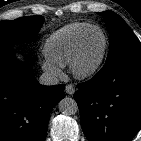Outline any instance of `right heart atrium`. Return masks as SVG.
<instances>
[{
	"label": "right heart atrium",
	"instance_id": "obj_1",
	"mask_svg": "<svg viewBox=\"0 0 141 141\" xmlns=\"http://www.w3.org/2000/svg\"><path fill=\"white\" fill-rule=\"evenodd\" d=\"M42 68L45 72H47L48 74L54 77H59L61 75L60 66L48 58H45L42 61Z\"/></svg>",
	"mask_w": 141,
	"mask_h": 141
}]
</instances>
